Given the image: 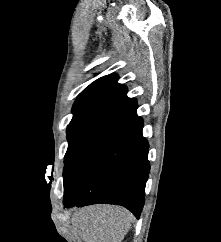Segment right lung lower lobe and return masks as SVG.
<instances>
[{"mask_svg": "<svg viewBox=\"0 0 221 242\" xmlns=\"http://www.w3.org/2000/svg\"><path fill=\"white\" fill-rule=\"evenodd\" d=\"M137 104L99 126L80 145L64 177V206L122 205L139 218L150 165Z\"/></svg>", "mask_w": 221, "mask_h": 242, "instance_id": "98d812e1", "label": "right lung lower lobe"}]
</instances>
